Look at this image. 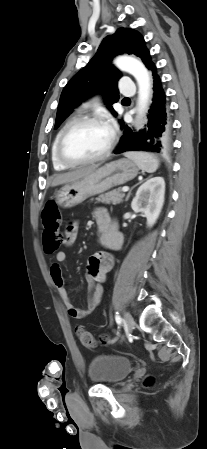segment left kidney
Masks as SVG:
<instances>
[{
  "label": "left kidney",
  "instance_id": "5707ae66",
  "mask_svg": "<svg viewBox=\"0 0 207 449\" xmlns=\"http://www.w3.org/2000/svg\"><path fill=\"white\" fill-rule=\"evenodd\" d=\"M165 195V181L163 177H153L143 183L132 200L134 212L142 213L147 219V226L152 227L162 210Z\"/></svg>",
  "mask_w": 207,
  "mask_h": 449
}]
</instances>
